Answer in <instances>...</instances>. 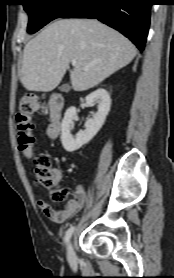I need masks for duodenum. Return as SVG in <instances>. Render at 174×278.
Masks as SVG:
<instances>
[{"instance_id":"1","label":"duodenum","mask_w":174,"mask_h":278,"mask_svg":"<svg viewBox=\"0 0 174 278\" xmlns=\"http://www.w3.org/2000/svg\"><path fill=\"white\" fill-rule=\"evenodd\" d=\"M48 108L50 125L48 135L56 137L60 131L62 113L64 109V98L59 93H52L48 97Z\"/></svg>"}]
</instances>
